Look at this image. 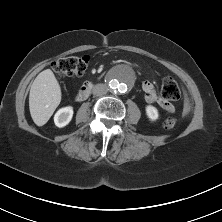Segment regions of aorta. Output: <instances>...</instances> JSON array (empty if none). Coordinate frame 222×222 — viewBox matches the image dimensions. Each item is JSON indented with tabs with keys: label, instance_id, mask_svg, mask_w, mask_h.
<instances>
[{
	"label": "aorta",
	"instance_id": "1",
	"mask_svg": "<svg viewBox=\"0 0 222 222\" xmlns=\"http://www.w3.org/2000/svg\"><path fill=\"white\" fill-rule=\"evenodd\" d=\"M133 82L129 67H120L112 71L108 78V86L114 93H124Z\"/></svg>",
	"mask_w": 222,
	"mask_h": 222
}]
</instances>
